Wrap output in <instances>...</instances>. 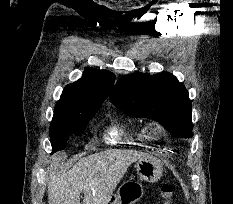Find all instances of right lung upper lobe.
I'll return each mask as SVG.
<instances>
[{
	"label": "right lung upper lobe",
	"instance_id": "cb5924a9",
	"mask_svg": "<svg viewBox=\"0 0 233 204\" xmlns=\"http://www.w3.org/2000/svg\"><path fill=\"white\" fill-rule=\"evenodd\" d=\"M114 80L115 76L109 71L86 68L81 79L65 87L56 104L51 126L97 112Z\"/></svg>",
	"mask_w": 233,
	"mask_h": 204
}]
</instances>
